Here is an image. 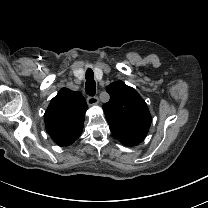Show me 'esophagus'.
I'll list each match as a JSON object with an SVG mask.
<instances>
[{
  "mask_svg": "<svg viewBox=\"0 0 208 208\" xmlns=\"http://www.w3.org/2000/svg\"><path fill=\"white\" fill-rule=\"evenodd\" d=\"M98 103H99V98L96 97V96H89V97L87 98V104H88L89 106H93V105H96V104H98Z\"/></svg>",
  "mask_w": 208,
  "mask_h": 208,
  "instance_id": "obj_1",
  "label": "esophagus"
}]
</instances>
